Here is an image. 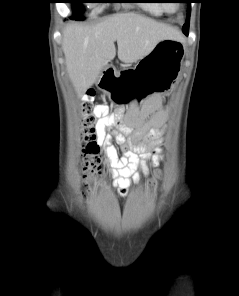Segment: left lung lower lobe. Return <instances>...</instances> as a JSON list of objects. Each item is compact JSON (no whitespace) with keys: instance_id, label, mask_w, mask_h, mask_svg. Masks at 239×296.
<instances>
[{"instance_id":"obj_1","label":"left lung lower lobe","mask_w":239,"mask_h":296,"mask_svg":"<svg viewBox=\"0 0 239 296\" xmlns=\"http://www.w3.org/2000/svg\"><path fill=\"white\" fill-rule=\"evenodd\" d=\"M182 31H183V33L185 34V35H188V32H189V29H182Z\"/></svg>"}]
</instances>
